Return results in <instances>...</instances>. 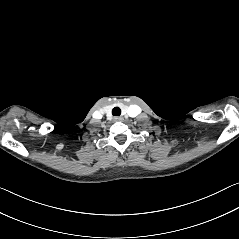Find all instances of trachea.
I'll use <instances>...</instances> for the list:
<instances>
[{
	"mask_svg": "<svg viewBox=\"0 0 239 239\" xmlns=\"http://www.w3.org/2000/svg\"><path fill=\"white\" fill-rule=\"evenodd\" d=\"M121 114V109L119 107H114L112 110V115L113 116H120Z\"/></svg>",
	"mask_w": 239,
	"mask_h": 239,
	"instance_id": "3493384b",
	"label": "trachea"
}]
</instances>
